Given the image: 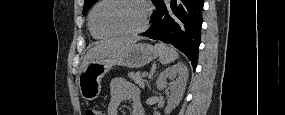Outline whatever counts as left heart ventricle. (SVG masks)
Here are the masks:
<instances>
[{"label": "left heart ventricle", "mask_w": 285, "mask_h": 115, "mask_svg": "<svg viewBox=\"0 0 285 115\" xmlns=\"http://www.w3.org/2000/svg\"><path fill=\"white\" fill-rule=\"evenodd\" d=\"M95 20L103 29L130 32L142 25V7L128 0L108 1L97 10Z\"/></svg>", "instance_id": "left-heart-ventricle-1"}]
</instances>
